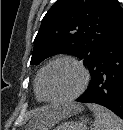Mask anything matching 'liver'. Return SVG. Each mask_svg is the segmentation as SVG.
Returning a JSON list of instances; mask_svg holds the SVG:
<instances>
[{"mask_svg": "<svg viewBox=\"0 0 123 130\" xmlns=\"http://www.w3.org/2000/svg\"><path fill=\"white\" fill-rule=\"evenodd\" d=\"M82 108L79 104H70L65 107H42L35 112L29 128L33 130H49L57 122L80 112Z\"/></svg>", "mask_w": 123, "mask_h": 130, "instance_id": "obj_1", "label": "liver"}]
</instances>
